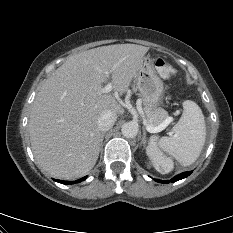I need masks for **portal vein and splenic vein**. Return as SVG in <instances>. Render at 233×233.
<instances>
[{
    "mask_svg": "<svg viewBox=\"0 0 233 233\" xmlns=\"http://www.w3.org/2000/svg\"><path fill=\"white\" fill-rule=\"evenodd\" d=\"M106 74L109 76L110 72H106ZM112 84L108 83L105 87L102 88V92L103 93H108L112 90ZM146 125V130L150 133H158L160 131H162L163 129L166 128V126L168 125V122H163L161 125H159L158 127H153L149 124H145Z\"/></svg>",
    "mask_w": 233,
    "mask_h": 233,
    "instance_id": "18ae733b",
    "label": "portal vein and splenic vein"
}]
</instances>
